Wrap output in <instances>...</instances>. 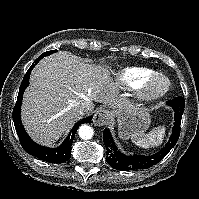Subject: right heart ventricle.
Listing matches in <instances>:
<instances>
[{
  "label": "right heart ventricle",
  "instance_id": "obj_1",
  "mask_svg": "<svg viewBox=\"0 0 199 199\" xmlns=\"http://www.w3.org/2000/svg\"><path fill=\"white\" fill-rule=\"evenodd\" d=\"M157 72L145 67H127L119 72L118 81L127 86H142Z\"/></svg>",
  "mask_w": 199,
  "mask_h": 199
}]
</instances>
